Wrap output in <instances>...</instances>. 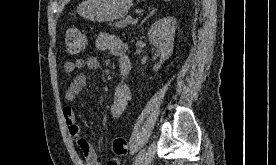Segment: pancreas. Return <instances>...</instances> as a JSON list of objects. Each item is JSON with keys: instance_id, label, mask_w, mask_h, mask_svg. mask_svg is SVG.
<instances>
[{"instance_id": "1", "label": "pancreas", "mask_w": 276, "mask_h": 165, "mask_svg": "<svg viewBox=\"0 0 276 165\" xmlns=\"http://www.w3.org/2000/svg\"><path fill=\"white\" fill-rule=\"evenodd\" d=\"M131 19H132L131 17H127L125 19H122V20L116 22L114 24V26L116 28H124V27H126L130 23Z\"/></svg>"}]
</instances>
